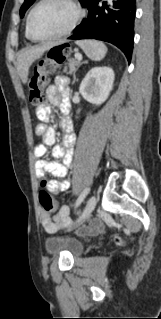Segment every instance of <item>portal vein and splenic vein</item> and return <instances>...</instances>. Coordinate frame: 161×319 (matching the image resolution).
<instances>
[{
    "mask_svg": "<svg viewBox=\"0 0 161 319\" xmlns=\"http://www.w3.org/2000/svg\"><path fill=\"white\" fill-rule=\"evenodd\" d=\"M75 58L77 59V60H79V61H81L82 60V55H80V54H75Z\"/></svg>",
    "mask_w": 161,
    "mask_h": 319,
    "instance_id": "obj_1",
    "label": "portal vein and splenic vein"
}]
</instances>
